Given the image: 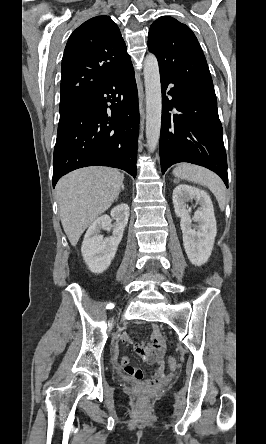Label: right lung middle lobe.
I'll use <instances>...</instances> for the list:
<instances>
[{
	"instance_id": "dd1d6c3e",
	"label": "right lung middle lobe",
	"mask_w": 266,
	"mask_h": 444,
	"mask_svg": "<svg viewBox=\"0 0 266 444\" xmlns=\"http://www.w3.org/2000/svg\"><path fill=\"white\" fill-rule=\"evenodd\" d=\"M83 98H70V99H64L60 100V115L66 113L68 110H70L72 107L77 105Z\"/></svg>"
}]
</instances>
